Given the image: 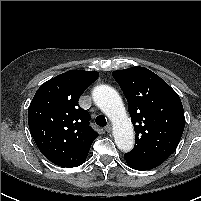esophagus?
<instances>
[{
    "label": "esophagus",
    "instance_id": "34e87169",
    "mask_svg": "<svg viewBox=\"0 0 201 201\" xmlns=\"http://www.w3.org/2000/svg\"><path fill=\"white\" fill-rule=\"evenodd\" d=\"M105 131L107 132V133H110L111 131H112V126L109 124V125H107L106 127H105Z\"/></svg>",
    "mask_w": 201,
    "mask_h": 201
}]
</instances>
